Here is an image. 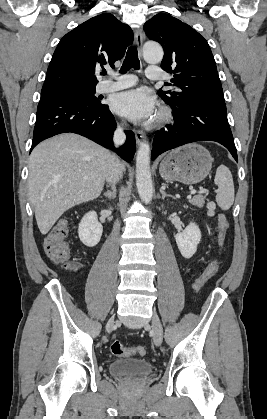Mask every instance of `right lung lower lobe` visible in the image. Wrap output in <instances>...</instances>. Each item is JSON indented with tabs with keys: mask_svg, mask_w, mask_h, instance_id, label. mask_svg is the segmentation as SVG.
<instances>
[{
	"mask_svg": "<svg viewBox=\"0 0 267 419\" xmlns=\"http://www.w3.org/2000/svg\"><path fill=\"white\" fill-rule=\"evenodd\" d=\"M115 128L116 122L108 105L91 106L60 92H41L31 150L49 137L73 132L115 150L122 159L130 162L135 153V136L132 131H125V144L114 149L112 137Z\"/></svg>",
	"mask_w": 267,
	"mask_h": 419,
	"instance_id": "obj_1",
	"label": "right lung lower lobe"
}]
</instances>
